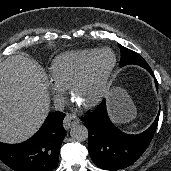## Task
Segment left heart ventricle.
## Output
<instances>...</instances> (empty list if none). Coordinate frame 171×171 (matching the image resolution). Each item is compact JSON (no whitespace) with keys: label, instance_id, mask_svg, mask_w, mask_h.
Returning <instances> with one entry per match:
<instances>
[{"label":"left heart ventricle","instance_id":"obj_1","mask_svg":"<svg viewBox=\"0 0 171 171\" xmlns=\"http://www.w3.org/2000/svg\"><path fill=\"white\" fill-rule=\"evenodd\" d=\"M111 63L112 55L110 52L105 51L97 56L88 75L75 90L74 99L79 104L87 103L97 95L102 75Z\"/></svg>","mask_w":171,"mask_h":171}]
</instances>
